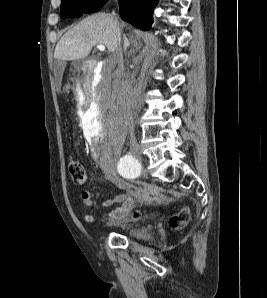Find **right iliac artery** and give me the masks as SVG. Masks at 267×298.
<instances>
[{
	"label": "right iliac artery",
	"instance_id": "1",
	"mask_svg": "<svg viewBox=\"0 0 267 298\" xmlns=\"http://www.w3.org/2000/svg\"><path fill=\"white\" fill-rule=\"evenodd\" d=\"M123 165L126 166H131V167H138L140 164L136 160L135 157H133L131 154H126L122 159H121Z\"/></svg>",
	"mask_w": 267,
	"mask_h": 298
}]
</instances>
